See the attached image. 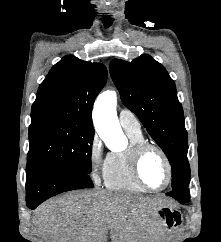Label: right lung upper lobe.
Instances as JSON below:
<instances>
[{"label":"right lung upper lobe","mask_w":221,"mask_h":242,"mask_svg":"<svg viewBox=\"0 0 221 242\" xmlns=\"http://www.w3.org/2000/svg\"><path fill=\"white\" fill-rule=\"evenodd\" d=\"M106 80L107 69L103 64L72 55L63 57L38 88L31 126L75 123L93 128V104Z\"/></svg>","instance_id":"right-lung-upper-lobe-1"}]
</instances>
